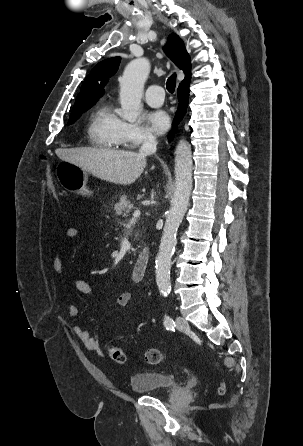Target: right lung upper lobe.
<instances>
[{"instance_id":"obj_1","label":"right lung upper lobe","mask_w":303,"mask_h":446,"mask_svg":"<svg viewBox=\"0 0 303 446\" xmlns=\"http://www.w3.org/2000/svg\"><path fill=\"white\" fill-rule=\"evenodd\" d=\"M164 50L172 61L184 71L185 79L181 83L190 81V57L185 50L183 41L175 33H172ZM120 60V57L104 60L91 70L90 75L86 76L81 86V91L76 98L73 109L95 104L98 101L104 94L103 85L117 72Z\"/></svg>"}]
</instances>
